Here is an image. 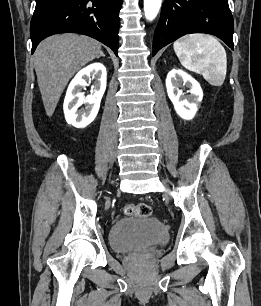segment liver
<instances>
[{
  "label": "liver",
  "instance_id": "6515ba94",
  "mask_svg": "<svg viewBox=\"0 0 261 306\" xmlns=\"http://www.w3.org/2000/svg\"><path fill=\"white\" fill-rule=\"evenodd\" d=\"M101 44L75 33L43 40L34 53L37 82L46 114L53 115L68 81L88 62L101 54Z\"/></svg>",
  "mask_w": 261,
  "mask_h": 306
}]
</instances>
